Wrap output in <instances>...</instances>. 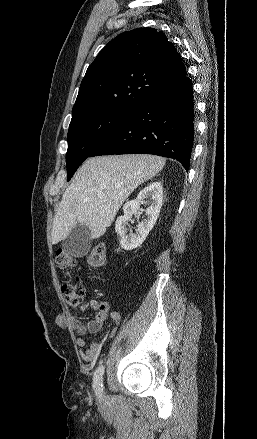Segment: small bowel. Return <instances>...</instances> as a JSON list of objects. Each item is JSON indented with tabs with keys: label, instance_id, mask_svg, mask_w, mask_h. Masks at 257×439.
<instances>
[{
	"label": "small bowel",
	"instance_id": "small-bowel-1",
	"mask_svg": "<svg viewBox=\"0 0 257 439\" xmlns=\"http://www.w3.org/2000/svg\"><path fill=\"white\" fill-rule=\"evenodd\" d=\"M81 310H93L95 311V316L92 320H89L86 323H82L75 317L70 318L71 326L80 336L86 333L100 332L103 329L104 323L109 315L114 322H118L120 319V316L117 312H110V305L106 301L91 299L81 307ZM76 343L78 347L82 349L81 357L86 362L94 361L100 354L103 346V343L97 342H92L89 346H86V341L82 337L77 338Z\"/></svg>",
	"mask_w": 257,
	"mask_h": 439
}]
</instances>
